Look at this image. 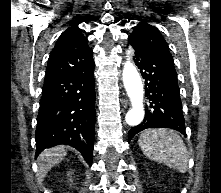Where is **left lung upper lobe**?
<instances>
[{
  "instance_id": "1",
  "label": "left lung upper lobe",
  "mask_w": 221,
  "mask_h": 193,
  "mask_svg": "<svg viewBox=\"0 0 221 193\" xmlns=\"http://www.w3.org/2000/svg\"><path fill=\"white\" fill-rule=\"evenodd\" d=\"M128 39L133 46L151 55L173 62L168 44L156 27L140 22L135 26Z\"/></svg>"
}]
</instances>
